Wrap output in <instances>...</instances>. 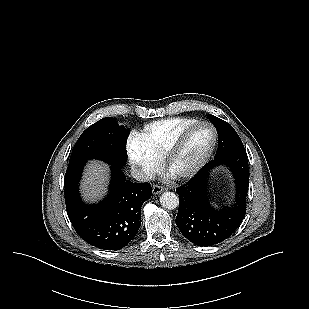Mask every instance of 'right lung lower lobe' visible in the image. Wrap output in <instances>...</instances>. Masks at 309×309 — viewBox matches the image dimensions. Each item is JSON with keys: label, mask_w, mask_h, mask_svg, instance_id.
Listing matches in <instances>:
<instances>
[{"label": "right lung lower lobe", "mask_w": 309, "mask_h": 309, "mask_svg": "<svg viewBox=\"0 0 309 309\" xmlns=\"http://www.w3.org/2000/svg\"><path fill=\"white\" fill-rule=\"evenodd\" d=\"M86 161L67 168L65 203L68 217L77 234L90 245L103 250H119L128 245L141 225V207L151 198L149 183L126 179L121 167L112 165L109 193L98 204L87 205L78 185Z\"/></svg>", "instance_id": "obj_1"}]
</instances>
